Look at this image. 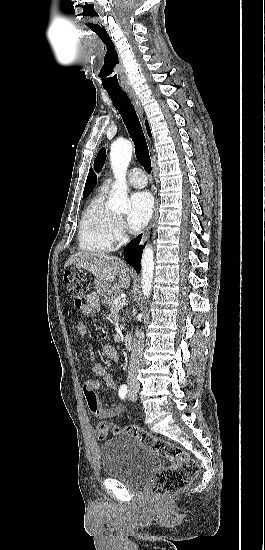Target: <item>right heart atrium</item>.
<instances>
[{
	"mask_svg": "<svg viewBox=\"0 0 265 550\" xmlns=\"http://www.w3.org/2000/svg\"><path fill=\"white\" fill-rule=\"evenodd\" d=\"M124 232V224L121 219L116 220V233L120 236Z\"/></svg>",
	"mask_w": 265,
	"mask_h": 550,
	"instance_id": "1",
	"label": "right heart atrium"
}]
</instances>
